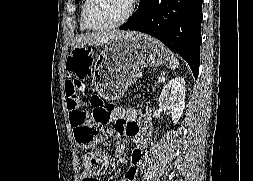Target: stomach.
<instances>
[{
    "label": "stomach",
    "mask_w": 253,
    "mask_h": 181,
    "mask_svg": "<svg viewBox=\"0 0 253 181\" xmlns=\"http://www.w3.org/2000/svg\"><path fill=\"white\" fill-rule=\"evenodd\" d=\"M168 60L166 47L148 35L137 33L111 40L96 60V89L104 99H119L141 77L144 66L158 67Z\"/></svg>",
    "instance_id": "stomach-1"
}]
</instances>
